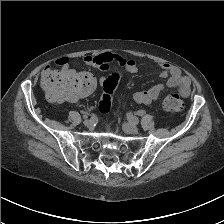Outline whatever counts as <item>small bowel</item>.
I'll list each match as a JSON object with an SVG mask.
<instances>
[{"label": "small bowel", "mask_w": 224, "mask_h": 224, "mask_svg": "<svg viewBox=\"0 0 224 224\" xmlns=\"http://www.w3.org/2000/svg\"><path fill=\"white\" fill-rule=\"evenodd\" d=\"M83 62L90 67L100 70H106L111 63H116L129 73H136L141 66L146 65L110 52L100 53L97 55H86L83 57ZM56 64L60 66L62 70L67 71L69 60L67 57H60L56 60ZM154 68L159 70L160 77L167 79L166 85L168 87L177 88L182 97L189 96L191 91L190 80L184 76L177 67L170 64H156ZM52 72L53 70L51 67L47 66L44 68L42 72V81L44 83H46V80L52 76ZM104 80L105 78H101L102 83ZM163 89V84H157L146 90L135 92L133 94V99L136 103L148 105L159 97Z\"/></svg>", "instance_id": "c3829d8e"}]
</instances>
